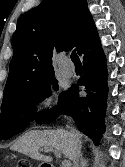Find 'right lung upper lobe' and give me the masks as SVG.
Masks as SVG:
<instances>
[{
  "mask_svg": "<svg viewBox=\"0 0 125 167\" xmlns=\"http://www.w3.org/2000/svg\"><path fill=\"white\" fill-rule=\"evenodd\" d=\"M97 34L86 0H43L21 15L12 36L13 57L3 99L26 93L54 77L53 51L78 54Z\"/></svg>",
  "mask_w": 125,
  "mask_h": 167,
  "instance_id": "cb5924a9",
  "label": "right lung upper lobe"
}]
</instances>
